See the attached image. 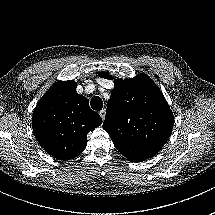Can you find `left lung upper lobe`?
Returning <instances> with one entry per match:
<instances>
[{
	"label": "left lung upper lobe",
	"instance_id": "1",
	"mask_svg": "<svg viewBox=\"0 0 215 215\" xmlns=\"http://www.w3.org/2000/svg\"><path fill=\"white\" fill-rule=\"evenodd\" d=\"M99 76L113 79L106 72H99ZM114 84L103 128L128 160L149 159L162 149L172 132V111L159 87L144 73L116 79Z\"/></svg>",
	"mask_w": 215,
	"mask_h": 215
}]
</instances>
